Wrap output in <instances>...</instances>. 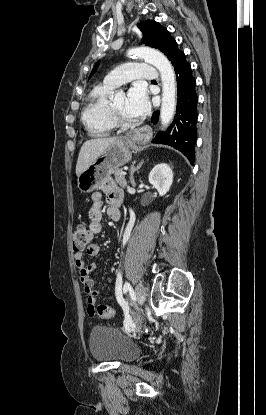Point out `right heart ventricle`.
I'll return each mask as SVG.
<instances>
[{
	"instance_id": "right-heart-ventricle-1",
	"label": "right heart ventricle",
	"mask_w": 266,
	"mask_h": 415,
	"mask_svg": "<svg viewBox=\"0 0 266 415\" xmlns=\"http://www.w3.org/2000/svg\"><path fill=\"white\" fill-rule=\"evenodd\" d=\"M115 86L102 84L93 88L82 113V121L93 136H107L116 127L112 116L109 95Z\"/></svg>"
}]
</instances>
